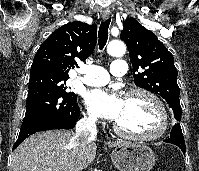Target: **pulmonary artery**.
I'll return each instance as SVG.
<instances>
[{
  "label": "pulmonary artery",
  "instance_id": "e3ab8cb5",
  "mask_svg": "<svg viewBox=\"0 0 199 171\" xmlns=\"http://www.w3.org/2000/svg\"><path fill=\"white\" fill-rule=\"evenodd\" d=\"M126 62L116 59L110 66V74L113 76H123L126 72ZM82 75L78 79L89 86H100L106 84L109 79V73L102 67L96 65H85L81 67Z\"/></svg>",
  "mask_w": 199,
  "mask_h": 171
}]
</instances>
